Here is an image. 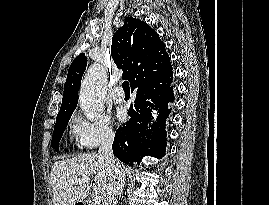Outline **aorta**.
Instances as JSON below:
<instances>
[{"label":"aorta","mask_w":269,"mask_h":205,"mask_svg":"<svg viewBox=\"0 0 269 205\" xmlns=\"http://www.w3.org/2000/svg\"><path fill=\"white\" fill-rule=\"evenodd\" d=\"M105 94V72L100 65L94 64L84 77L79 95L80 107L89 120L100 118L104 110Z\"/></svg>","instance_id":"1"}]
</instances>
